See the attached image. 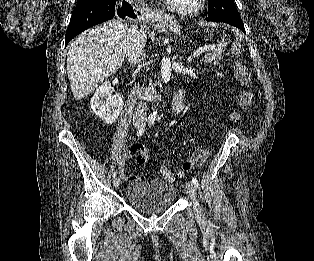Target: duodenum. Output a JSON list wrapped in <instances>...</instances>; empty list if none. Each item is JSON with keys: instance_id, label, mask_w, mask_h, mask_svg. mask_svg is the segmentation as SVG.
I'll use <instances>...</instances> for the list:
<instances>
[{"instance_id": "duodenum-1", "label": "duodenum", "mask_w": 314, "mask_h": 261, "mask_svg": "<svg viewBox=\"0 0 314 261\" xmlns=\"http://www.w3.org/2000/svg\"><path fill=\"white\" fill-rule=\"evenodd\" d=\"M173 107L178 111L184 107V93L181 90L177 91L173 98Z\"/></svg>"}]
</instances>
